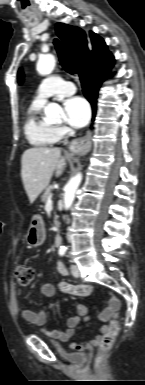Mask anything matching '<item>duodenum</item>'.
<instances>
[{
    "label": "duodenum",
    "mask_w": 145,
    "mask_h": 385,
    "mask_svg": "<svg viewBox=\"0 0 145 385\" xmlns=\"http://www.w3.org/2000/svg\"><path fill=\"white\" fill-rule=\"evenodd\" d=\"M61 242H62V239H61V236L59 234H57L54 238V243L57 247H59L61 245Z\"/></svg>",
    "instance_id": "duodenum-1"
}]
</instances>
